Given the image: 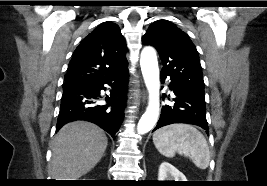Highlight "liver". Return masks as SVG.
Instances as JSON below:
<instances>
[{
  "instance_id": "6515ba94",
  "label": "liver",
  "mask_w": 267,
  "mask_h": 186,
  "mask_svg": "<svg viewBox=\"0 0 267 186\" xmlns=\"http://www.w3.org/2000/svg\"><path fill=\"white\" fill-rule=\"evenodd\" d=\"M107 142L104 131L92 123L66 124L53 142L50 175L55 180H77L100 161Z\"/></svg>"
}]
</instances>
